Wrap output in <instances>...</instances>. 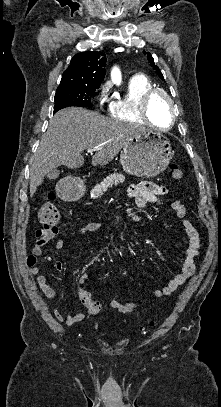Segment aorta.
Segmentation results:
<instances>
[{
	"mask_svg": "<svg viewBox=\"0 0 221 407\" xmlns=\"http://www.w3.org/2000/svg\"><path fill=\"white\" fill-rule=\"evenodd\" d=\"M111 79L117 85H119L121 83V73L118 68H116V67L113 68V70L111 72Z\"/></svg>",
	"mask_w": 221,
	"mask_h": 407,
	"instance_id": "obj_1",
	"label": "aorta"
}]
</instances>
